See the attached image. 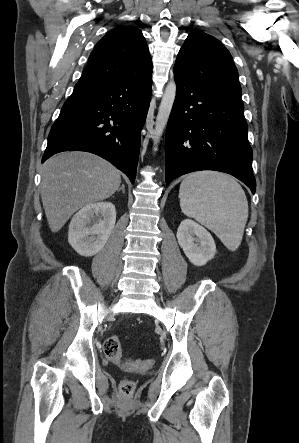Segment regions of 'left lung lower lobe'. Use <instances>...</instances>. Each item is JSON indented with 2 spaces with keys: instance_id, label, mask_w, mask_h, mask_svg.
I'll return each instance as SVG.
<instances>
[{
  "instance_id": "obj_1",
  "label": "left lung lower lobe",
  "mask_w": 299,
  "mask_h": 443,
  "mask_svg": "<svg viewBox=\"0 0 299 443\" xmlns=\"http://www.w3.org/2000/svg\"><path fill=\"white\" fill-rule=\"evenodd\" d=\"M175 102L165 138L166 184L186 173L233 175L255 193L243 102L174 72Z\"/></svg>"
}]
</instances>
